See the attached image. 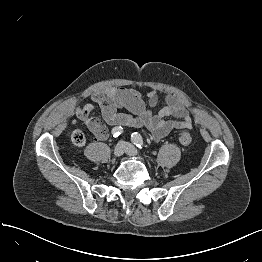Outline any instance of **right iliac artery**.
<instances>
[{"instance_id":"82829eb1","label":"right iliac artery","mask_w":262,"mask_h":262,"mask_svg":"<svg viewBox=\"0 0 262 262\" xmlns=\"http://www.w3.org/2000/svg\"><path fill=\"white\" fill-rule=\"evenodd\" d=\"M122 127H115L112 129V134L113 137H118L123 131H122Z\"/></svg>"}]
</instances>
